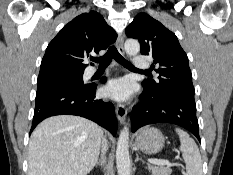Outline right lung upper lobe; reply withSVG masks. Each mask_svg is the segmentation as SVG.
<instances>
[{"label":"right lung upper lobe","mask_w":233,"mask_h":175,"mask_svg":"<svg viewBox=\"0 0 233 175\" xmlns=\"http://www.w3.org/2000/svg\"><path fill=\"white\" fill-rule=\"evenodd\" d=\"M117 34L101 14L83 13L65 25L48 45L38 78L83 73L89 53L106 49Z\"/></svg>","instance_id":"cb5924a9"}]
</instances>
